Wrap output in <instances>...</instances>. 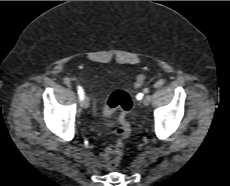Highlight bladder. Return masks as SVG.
<instances>
[{"instance_id": "bladder-1", "label": "bladder", "mask_w": 230, "mask_h": 186, "mask_svg": "<svg viewBox=\"0 0 230 186\" xmlns=\"http://www.w3.org/2000/svg\"><path fill=\"white\" fill-rule=\"evenodd\" d=\"M105 124H106L107 127H111V126L114 125V121L112 119H109V120L106 121Z\"/></svg>"}]
</instances>
